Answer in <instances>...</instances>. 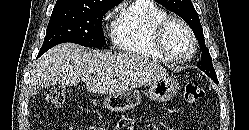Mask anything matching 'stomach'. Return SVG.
Segmentation results:
<instances>
[{"instance_id":"1","label":"stomach","mask_w":249,"mask_h":130,"mask_svg":"<svg viewBox=\"0 0 249 130\" xmlns=\"http://www.w3.org/2000/svg\"><path fill=\"white\" fill-rule=\"evenodd\" d=\"M179 89L176 80L169 76L161 77L152 82L149 87L148 97L150 100L165 102L174 97ZM141 94L138 90H130L122 93L108 94L103 105L109 111H127L141 103Z\"/></svg>"}]
</instances>
